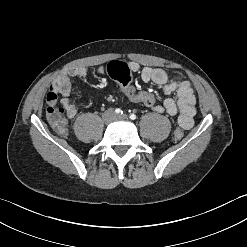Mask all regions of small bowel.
<instances>
[{
    "label": "small bowel",
    "instance_id": "1",
    "mask_svg": "<svg viewBox=\"0 0 247 247\" xmlns=\"http://www.w3.org/2000/svg\"><path fill=\"white\" fill-rule=\"evenodd\" d=\"M130 72H138L140 66L136 62L126 64ZM105 67L97 68L96 73L104 74ZM88 69L85 67H71L59 75L51 86V92L60 95V104L65 108L66 116L73 118L77 113V108L70 103L69 97L72 93L71 79L73 77H85ZM141 79L146 82H152L161 87L165 94L176 92L177 99L167 98L164 102L154 104L150 108L159 113H167L170 116L179 114L178 123L184 129H190L194 124L196 114L195 95L192 85L189 81L184 80L180 75H174L170 79L166 71L161 68L143 67L140 70Z\"/></svg>",
    "mask_w": 247,
    "mask_h": 247
}]
</instances>
